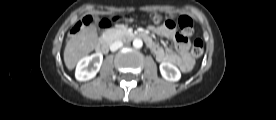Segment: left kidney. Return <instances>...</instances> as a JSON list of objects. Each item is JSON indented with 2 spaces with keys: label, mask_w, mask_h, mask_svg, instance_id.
Returning <instances> with one entry per match:
<instances>
[{
  "label": "left kidney",
  "mask_w": 276,
  "mask_h": 120,
  "mask_svg": "<svg viewBox=\"0 0 276 120\" xmlns=\"http://www.w3.org/2000/svg\"><path fill=\"white\" fill-rule=\"evenodd\" d=\"M159 68L162 77L168 81L175 82L181 78L179 69L169 62H162Z\"/></svg>",
  "instance_id": "1"
}]
</instances>
